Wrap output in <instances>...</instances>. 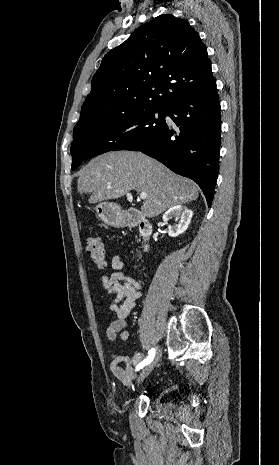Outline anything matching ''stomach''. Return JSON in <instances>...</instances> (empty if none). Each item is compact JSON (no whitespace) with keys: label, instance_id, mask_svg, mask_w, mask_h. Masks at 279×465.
<instances>
[{"label":"stomach","instance_id":"0dacf381","mask_svg":"<svg viewBox=\"0 0 279 465\" xmlns=\"http://www.w3.org/2000/svg\"><path fill=\"white\" fill-rule=\"evenodd\" d=\"M95 210L99 218L110 226L123 227L127 223L126 216L118 204L102 202L96 206Z\"/></svg>","mask_w":279,"mask_h":465}]
</instances>
